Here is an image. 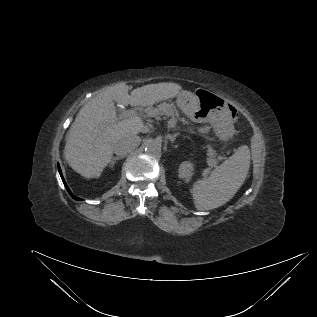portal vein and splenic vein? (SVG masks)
<instances>
[{
  "label": "portal vein and splenic vein",
  "instance_id": "obj_1",
  "mask_svg": "<svg viewBox=\"0 0 317 317\" xmlns=\"http://www.w3.org/2000/svg\"><path fill=\"white\" fill-rule=\"evenodd\" d=\"M119 119H124V118H133L137 121L141 120V118L138 116L137 112L134 110H126L123 111L119 114L118 116ZM171 123H174L173 120H171Z\"/></svg>",
  "mask_w": 317,
  "mask_h": 317
}]
</instances>
